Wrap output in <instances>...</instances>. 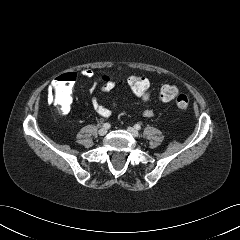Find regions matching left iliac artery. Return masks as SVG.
<instances>
[{"label": "left iliac artery", "mask_w": 240, "mask_h": 240, "mask_svg": "<svg viewBox=\"0 0 240 240\" xmlns=\"http://www.w3.org/2000/svg\"><path fill=\"white\" fill-rule=\"evenodd\" d=\"M134 127H135V129H137V130H140V129H141V126H140L139 124H135Z\"/></svg>", "instance_id": "obj_1"}]
</instances>
